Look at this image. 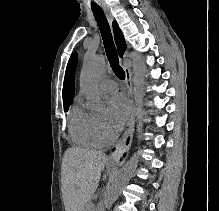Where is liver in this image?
Returning a JSON list of instances; mask_svg holds the SVG:
<instances>
[{"mask_svg":"<svg viewBox=\"0 0 219 211\" xmlns=\"http://www.w3.org/2000/svg\"><path fill=\"white\" fill-rule=\"evenodd\" d=\"M108 161L103 151L69 147L63 157L62 181L66 211H83L96 191L101 171ZM109 171L103 175L106 179Z\"/></svg>","mask_w":219,"mask_h":211,"instance_id":"1","label":"liver"}]
</instances>
